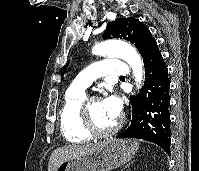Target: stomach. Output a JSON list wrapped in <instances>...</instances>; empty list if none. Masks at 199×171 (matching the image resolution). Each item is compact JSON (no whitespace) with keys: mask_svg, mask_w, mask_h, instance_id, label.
<instances>
[{"mask_svg":"<svg viewBox=\"0 0 199 171\" xmlns=\"http://www.w3.org/2000/svg\"><path fill=\"white\" fill-rule=\"evenodd\" d=\"M138 147L135 140L112 138L92 153L62 162L55 171H111L130 161Z\"/></svg>","mask_w":199,"mask_h":171,"instance_id":"stomach-1","label":"stomach"}]
</instances>
